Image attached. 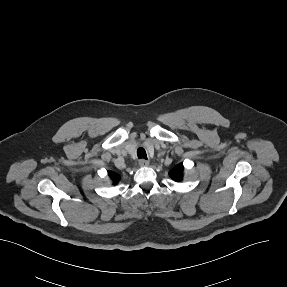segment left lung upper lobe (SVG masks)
Masks as SVG:
<instances>
[{"label":"left lung upper lobe","instance_id":"5c2ea615","mask_svg":"<svg viewBox=\"0 0 287 287\" xmlns=\"http://www.w3.org/2000/svg\"><path fill=\"white\" fill-rule=\"evenodd\" d=\"M183 164L180 163L176 165L170 172L169 175L170 177L175 180V181H180L182 180V173H183Z\"/></svg>","mask_w":287,"mask_h":287}]
</instances>
